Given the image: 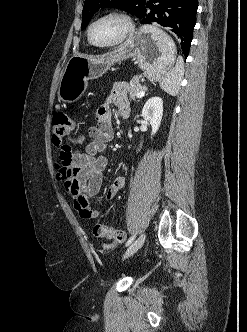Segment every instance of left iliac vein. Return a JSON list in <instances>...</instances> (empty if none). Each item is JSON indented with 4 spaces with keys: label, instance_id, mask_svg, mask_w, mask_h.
<instances>
[{
    "label": "left iliac vein",
    "instance_id": "left-iliac-vein-1",
    "mask_svg": "<svg viewBox=\"0 0 247 332\" xmlns=\"http://www.w3.org/2000/svg\"><path fill=\"white\" fill-rule=\"evenodd\" d=\"M146 235L143 233L141 234L126 250L123 258H128L129 256L133 255L136 251H138L145 242Z\"/></svg>",
    "mask_w": 247,
    "mask_h": 332
}]
</instances>
